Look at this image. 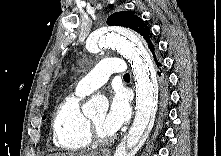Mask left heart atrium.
I'll list each match as a JSON object with an SVG mask.
<instances>
[{"instance_id":"left-heart-atrium-1","label":"left heart atrium","mask_w":221,"mask_h":156,"mask_svg":"<svg viewBox=\"0 0 221 156\" xmlns=\"http://www.w3.org/2000/svg\"><path fill=\"white\" fill-rule=\"evenodd\" d=\"M130 115L131 108L126 93L116 90L111 96L109 110L105 116V130L114 134L129 120Z\"/></svg>"}]
</instances>
